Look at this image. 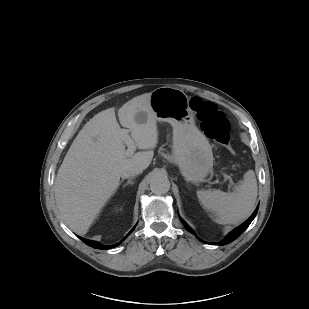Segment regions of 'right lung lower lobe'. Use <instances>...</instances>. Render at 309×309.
<instances>
[{"instance_id": "1", "label": "right lung lower lobe", "mask_w": 309, "mask_h": 309, "mask_svg": "<svg viewBox=\"0 0 309 309\" xmlns=\"http://www.w3.org/2000/svg\"><path fill=\"white\" fill-rule=\"evenodd\" d=\"M134 229V228H133ZM133 229L130 231V233L133 231ZM128 233V235L130 234ZM127 235V236H128ZM85 244H87L88 246H91L95 249H110V248H113V247H116L118 245H120V243L116 244V245H113V246H103V245H100L98 242H95V241H91V240H87V239H84V238H81L79 237Z\"/></svg>"}]
</instances>
